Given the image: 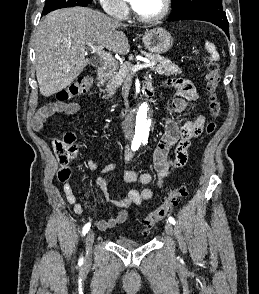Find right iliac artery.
I'll return each mask as SVG.
<instances>
[{
    "label": "right iliac artery",
    "instance_id": "obj_1",
    "mask_svg": "<svg viewBox=\"0 0 259 294\" xmlns=\"http://www.w3.org/2000/svg\"><path fill=\"white\" fill-rule=\"evenodd\" d=\"M139 146H140V142H134V141H133V142H132V145H131V148H132L133 151H136V150L139 148ZM90 226H91V224H90V223H87V224L83 227L82 235H85V234L89 231ZM79 262H81V263L83 262V257L80 258Z\"/></svg>",
    "mask_w": 259,
    "mask_h": 294
}]
</instances>
